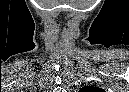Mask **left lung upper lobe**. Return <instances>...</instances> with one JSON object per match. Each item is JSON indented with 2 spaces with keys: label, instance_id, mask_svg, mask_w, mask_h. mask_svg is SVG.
Instances as JSON below:
<instances>
[{
  "label": "left lung upper lobe",
  "instance_id": "obj_1",
  "mask_svg": "<svg viewBox=\"0 0 129 92\" xmlns=\"http://www.w3.org/2000/svg\"><path fill=\"white\" fill-rule=\"evenodd\" d=\"M80 91L81 92H104V90H102L100 88L93 87V86L84 87Z\"/></svg>",
  "mask_w": 129,
  "mask_h": 92
}]
</instances>
